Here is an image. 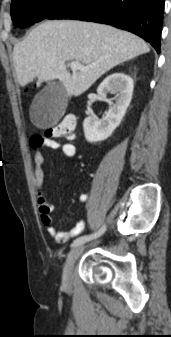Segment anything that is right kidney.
I'll return each mask as SVG.
<instances>
[{"label":"right kidney","mask_w":171,"mask_h":337,"mask_svg":"<svg viewBox=\"0 0 171 337\" xmlns=\"http://www.w3.org/2000/svg\"><path fill=\"white\" fill-rule=\"evenodd\" d=\"M133 79L124 73H113L99 85L97 93L104 100L107 94L115 95V103L110 105L105 117L97 120L87 117L83 122L85 138L88 142H98L107 139L120 125L132 99Z\"/></svg>","instance_id":"obj_1"}]
</instances>
